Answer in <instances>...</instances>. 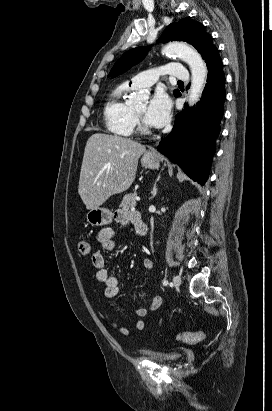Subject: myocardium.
I'll return each instance as SVG.
<instances>
[{
  "label": "myocardium",
  "mask_w": 272,
  "mask_h": 411,
  "mask_svg": "<svg viewBox=\"0 0 272 411\" xmlns=\"http://www.w3.org/2000/svg\"><path fill=\"white\" fill-rule=\"evenodd\" d=\"M132 115L134 119V124L139 133L144 134V135L152 134L151 129L145 125L142 118L135 112L134 109H132Z\"/></svg>",
  "instance_id": "obj_1"
}]
</instances>
